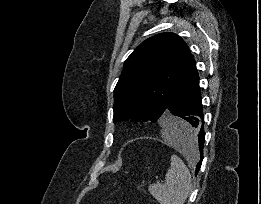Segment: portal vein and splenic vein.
Here are the masks:
<instances>
[{"label":"portal vein and splenic vein","instance_id":"18ae733b","mask_svg":"<svg viewBox=\"0 0 261 204\" xmlns=\"http://www.w3.org/2000/svg\"><path fill=\"white\" fill-rule=\"evenodd\" d=\"M156 183H157V184H159V183H160V181H158V180H157V181H156Z\"/></svg>","mask_w":261,"mask_h":204}]
</instances>
